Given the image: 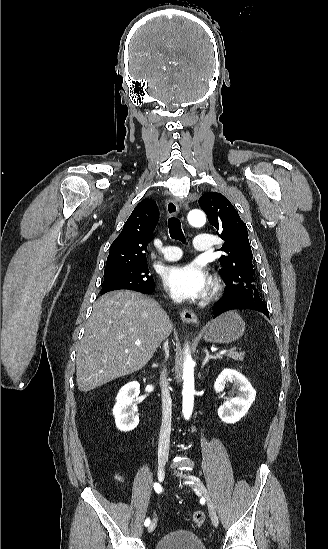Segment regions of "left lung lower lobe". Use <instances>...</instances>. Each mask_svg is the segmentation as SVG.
<instances>
[{"label": "left lung lower lobe", "instance_id": "left-lung-lower-lobe-1", "mask_svg": "<svg viewBox=\"0 0 328 549\" xmlns=\"http://www.w3.org/2000/svg\"><path fill=\"white\" fill-rule=\"evenodd\" d=\"M234 309L255 310L269 317L267 306L262 300L260 301L248 299L246 297L224 295L223 298L213 307L214 318L226 311Z\"/></svg>", "mask_w": 328, "mask_h": 549}]
</instances>
